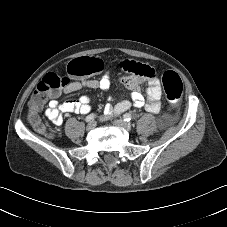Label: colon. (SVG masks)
Listing matches in <instances>:
<instances>
[{"label":"colon","mask_w":227,"mask_h":227,"mask_svg":"<svg viewBox=\"0 0 227 227\" xmlns=\"http://www.w3.org/2000/svg\"><path fill=\"white\" fill-rule=\"evenodd\" d=\"M128 71L138 74L147 79L155 76L152 67L129 60ZM103 70V63L93 56L80 57L71 60L66 65V75L53 70L45 75L37 84L29 100V120L31 125L40 133L48 134L46 124L40 119L39 112L48 99L55 97L58 92L70 84L72 78H87L100 73ZM162 84L165 97L169 104L176 105L183 94V83L180 76L174 71H166L162 75Z\"/></svg>","instance_id":"obj_1"}]
</instances>
